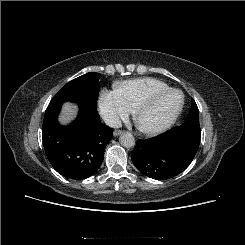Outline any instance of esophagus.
<instances>
[{
	"mask_svg": "<svg viewBox=\"0 0 245 245\" xmlns=\"http://www.w3.org/2000/svg\"><path fill=\"white\" fill-rule=\"evenodd\" d=\"M122 133H123L122 130L116 129V130H114L113 135L116 137V136H119V135L122 134Z\"/></svg>",
	"mask_w": 245,
	"mask_h": 245,
	"instance_id": "1",
	"label": "esophagus"
}]
</instances>
